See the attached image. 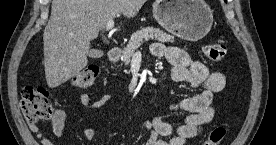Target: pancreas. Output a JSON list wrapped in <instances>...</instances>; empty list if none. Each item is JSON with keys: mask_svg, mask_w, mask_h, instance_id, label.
<instances>
[{"mask_svg": "<svg viewBox=\"0 0 276 145\" xmlns=\"http://www.w3.org/2000/svg\"><path fill=\"white\" fill-rule=\"evenodd\" d=\"M158 40L160 42H173L174 37L165 33L159 28L146 27L142 28L132 34L127 46L122 51V59L125 65L130 63L131 57L142 45L143 42L148 40Z\"/></svg>", "mask_w": 276, "mask_h": 145, "instance_id": "1", "label": "pancreas"}]
</instances>
